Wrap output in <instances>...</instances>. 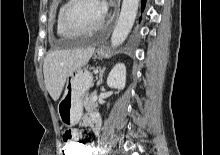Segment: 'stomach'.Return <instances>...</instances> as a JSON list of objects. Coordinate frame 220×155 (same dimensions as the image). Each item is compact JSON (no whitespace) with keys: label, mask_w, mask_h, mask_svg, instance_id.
<instances>
[{"label":"stomach","mask_w":220,"mask_h":155,"mask_svg":"<svg viewBox=\"0 0 220 155\" xmlns=\"http://www.w3.org/2000/svg\"><path fill=\"white\" fill-rule=\"evenodd\" d=\"M97 57L104 56L102 50H98ZM93 85L92 74L83 69H78L67 79L64 94L57 106L60 121L65 126L76 125L83 114V98Z\"/></svg>","instance_id":"stomach-1"}]
</instances>
